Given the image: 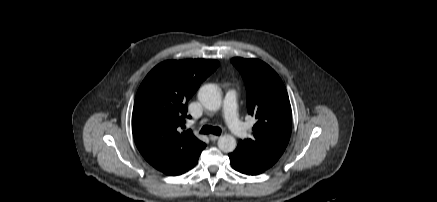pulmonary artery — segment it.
Returning <instances> with one entry per match:
<instances>
[{
	"mask_svg": "<svg viewBox=\"0 0 437 202\" xmlns=\"http://www.w3.org/2000/svg\"><path fill=\"white\" fill-rule=\"evenodd\" d=\"M223 111L226 123L230 130L238 137L245 138L247 130L243 123L238 119L236 113V92L234 90L227 91L224 102Z\"/></svg>",
	"mask_w": 437,
	"mask_h": 202,
	"instance_id": "pulmonary-artery-1",
	"label": "pulmonary artery"
}]
</instances>
